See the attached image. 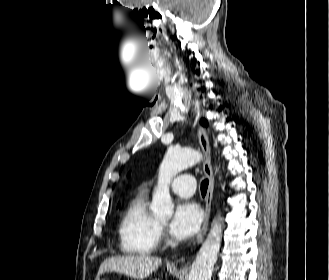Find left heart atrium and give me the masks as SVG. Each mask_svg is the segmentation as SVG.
<instances>
[{
    "mask_svg": "<svg viewBox=\"0 0 329 280\" xmlns=\"http://www.w3.org/2000/svg\"><path fill=\"white\" fill-rule=\"evenodd\" d=\"M203 213L200 207L189 201L179 203L170 224L173 236L183 239L194 235L200 228Z\"/></svg>",
    "mask_w": 329,
    "mask_h": 280,
    "instance_id": "obj_1",
    "label": "left heart atrium"
}]
</instances>
